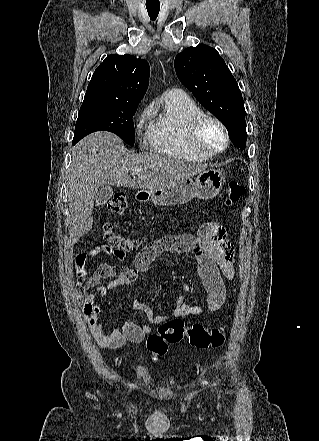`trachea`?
<instances>
[{
    "label": "trachea",
    "instance_id": "1",
    "mask_svg": "<svg viewBox=\"0 0 319 441\" xmlns=\"http://www.w3.org/2000/svg\"><path fill=\"white\" fill-rule=\"evenodd\" d=\"M146 8H147V12H148L150 19L153 21L156 20L158 14H159V11H160V5L159 6L158 5L146 6Z\"/></svg>",
    "mask_w": 319,
    "mask_h": 441
}]
</instances>
